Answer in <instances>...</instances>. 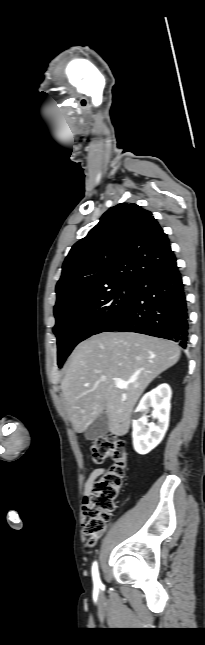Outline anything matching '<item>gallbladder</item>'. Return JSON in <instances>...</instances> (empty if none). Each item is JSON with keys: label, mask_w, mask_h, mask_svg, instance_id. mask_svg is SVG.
Listing matches in <instances>:
<instances>
[{"label": "gallbladder", "mask_w": 205, "mask_h": 645, "mask_svg": "<svg viewBox=\"0 0 205 645\" xmlns=\"http://www.w3.org/2000/svg\"><path fill=\"white\" fill-rule=\"evenodd\" d=\"M108 432V416L105 412L99 415L85 430L87 440H97Z\"/></svg>", "instance_id": "gallbladder-1"}]
</instances>
